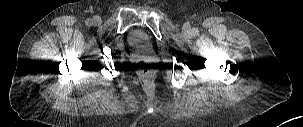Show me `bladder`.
<instances>
[{
    "instance_id": "1",
    "label": "bladder",
    "mask_w": 303,
    "mask_h": 127,
    "mask_svg": "<svg viewBox=\"0 0 303 127\" xmlns=\"http://www.w3.org/2000/svg\"><path fill=\"white\" fill-rule=\"evenodd\" d=\"M127 41L134 48H142L147 44V34L141 28H134L129 31Z\"/></svg>"
}]
</instances>
